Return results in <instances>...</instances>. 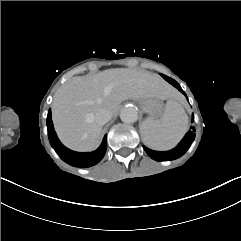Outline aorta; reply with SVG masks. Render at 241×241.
Here are the masks:
<instances>
[{"mask_svg": "<svg viewBox=\"0 0 241 241\" xmlns=\"http://www.w3.org/2000/svg\"><path fill=\"white\" fill-rule=\"evenodd\" d=\"M120 119L124 123H134L138 120V112L134 107L126 106L120 112Z\"/></svg>", "mask_w": 241, "mask_h": 241, "instance_id": "762f6f07", "label": "aorta"}]
</instances>
